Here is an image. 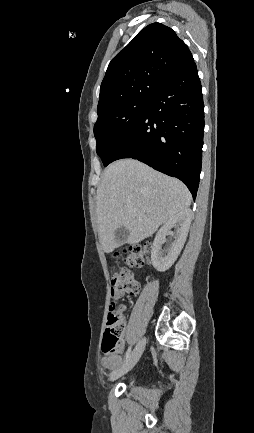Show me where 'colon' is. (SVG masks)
<instances>
[{
    "instance_id": "obj_1",
    "label": "colon",
    "mask_w": 254,
    "mask_h": 433,
    "mask_svg": "<svg viewBox=\"0 0 254 433\" xmlns=\"http://www.w3.org/2000/svg\"><path fill=\"white\" fill-rule=\"evenodd\" d=\"M142 249L140 247L132 248L123 255V266H120L111 276L112 302L107 316V325L104 334L103 351L106 354L115 353L121 344L124 332V322L121 316V307L114 297L116 292L135 294L139 286L135 280L132 268L142 261Z\"/></svg>"
}]
</instances>
